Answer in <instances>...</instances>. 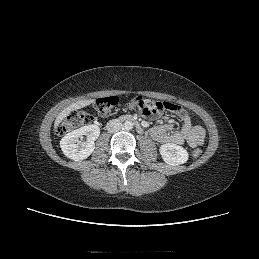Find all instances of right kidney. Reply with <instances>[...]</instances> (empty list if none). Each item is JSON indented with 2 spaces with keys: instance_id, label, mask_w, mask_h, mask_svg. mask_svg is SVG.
Listing matches in <instances>:
<instances>
[{
  "instance_id": "obj_1",
  "label": "right kidney",
  "mask_w": 259,
  "mask_h": 259,
  "mask_svg": "<svg viewBox=\"0 0 259 259\" xmlns=\"http://www.w3.org/2000/svg\"><path fill=\"white\" fill-rule=\"evenodd\" d=\"M83 135L87 137L86 142H81ZM100 135L97 125H86L66 134L60 141V147L67 158L75 161L86 159L95 148V140Z\"/></svg>"
}]
</instances>
